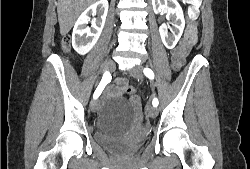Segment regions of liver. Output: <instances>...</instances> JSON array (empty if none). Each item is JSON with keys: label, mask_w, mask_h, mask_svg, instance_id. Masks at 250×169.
<instances>
[{"label": "liver", "mask_w": 250, "mask_h": 169, "mask_svg": "<svg viewBox=\"0 0 250 169\" xmlns=\"http://www.w3.org/2000/svg\"><path fill=\"white\" fill-rule=\"evenodd\" d=\"M95 0H58L57 12L60 34L65 36L76 22L80 12Z\"/></svg>", "instance_id": "obj_1"}]
</instances>
